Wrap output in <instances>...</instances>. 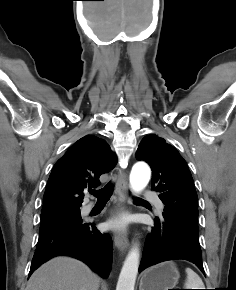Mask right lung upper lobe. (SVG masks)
Listing matches in <instances>:
<instances>
[{
    "label": "right lung upper lobe",
    "mask_w": 236,
    "mask_h": 290,
    "mask_svg": "<svg viewBox=\"0 0 236 290\" xmlns=\"http://www.w3.org/2000/svg\"><path fill=\"white\" fill-rule=\"evenodd\" d=\"M115 164L116 157L105 140L94 135L79 139L56 162L44 193L42 213L79 209L84 189L98 186L100 175Z\"/></svg>",
    "instance_id": "1"
}]
</instances>
